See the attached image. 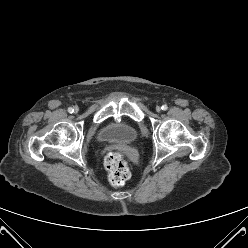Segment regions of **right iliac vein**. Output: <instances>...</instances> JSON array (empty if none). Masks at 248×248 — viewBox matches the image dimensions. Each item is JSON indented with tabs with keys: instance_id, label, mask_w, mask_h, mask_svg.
<instances>
[{
	"instance_id": "obj_1",
	"label": "right iliac vein",
	"mask_w": 248,
	"mask_h": 248,
	"mask_svg": "<svg viewBox=\"0 0 248 248\" xmlns=\"http://www.w3.org/2000/svg\"><path fill=\"white\" fill-rule=\"evenodd\" d=\"M79 111V108L78 107H75V112L77 113Z\"/></svg>"
}]
</instances>
